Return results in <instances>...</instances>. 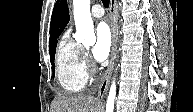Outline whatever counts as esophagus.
I'll return each mask as SVG.
<instances>
[{
    "instance_id": "34e87169",
    "label": "esophagus",
    "mask_w": 193,
    "mask_h": 112,
    "mask_svg": "<svg viewBox=\"0 0 193 112\" xmlns=\"http://www.w3.org/2000/svg\"><path fill=\"white\" fill-rule=\"evenodd\" d=\"M115 6H116L115 0H110L109 15H110V24H111V31H112V49H111L108 68L99 86V90L97 94L98 100H102L105 97V94L107 92L108 85L110 82L111 74L113 71V67H114V60H115V54H116V38H117Z\"/></svg>"
}]
</instances>
